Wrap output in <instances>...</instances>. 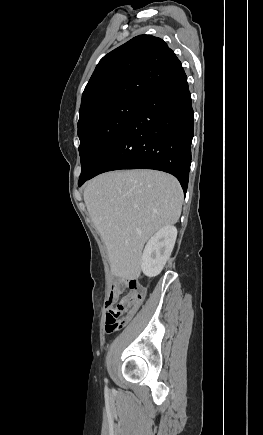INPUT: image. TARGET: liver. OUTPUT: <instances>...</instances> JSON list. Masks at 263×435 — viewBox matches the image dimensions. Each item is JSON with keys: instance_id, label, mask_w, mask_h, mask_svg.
Here are the masks:
<instances>
[{"instance_id": "obj_1", "label": "liver", "mask_w": 263, "mask_h": 435, "mask_svg": "<svg viewBox=\"0 0 263 435\" xmlns=\"http://www.w3.org/2000/svg\"><path fill=\"white\" fill-rule=\"evenodd\" d=\"M84 202L106 245L111 273L131 280L140 276L147 240L178 222L183 191L178 180L164 172L114 171L87 183Z\"/></svg>"}]
</instances>
